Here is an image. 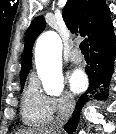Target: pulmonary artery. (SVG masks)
I'll return each instance as SVG.
<instances>
[{
    "instance_id": "obj_1",
    "label": "pulmonary artery",
    "mask_w": 116,
    "mask_h": 134,
    "mask_svg": "<svg viewBox=\"0 0 116 134\" xmlns=\"http://www.w3.org/2000/svg\"><path fill=\"white\" fill-rule=\"evenodd\" d=\"M68 59L75 64L81 63L83 60V57L81 54L78 53L77 50H74L68 55Z\"/></svg>"
}]
</instances>
